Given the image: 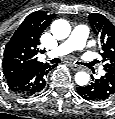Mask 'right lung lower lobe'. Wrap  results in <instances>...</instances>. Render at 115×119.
<instances>
[{
    "instance_id": "98d812e1",
    "label": "right lung lower lobe",
    "mask_w": 115,
    "mask_h": 119,
    "mask_svg": "<svg viewBox=\"0 0 115 119\" xmlns=\"http://www.w3.org/2000/svg\"><path fill=\"white\" fill-rule=\"evenodd\" d=\"M51 67L48 65L31 68L21 74L7 78L8 86L22 96H32L41 92L45 85V77Z\"/></svg>"
}]
</instances>
